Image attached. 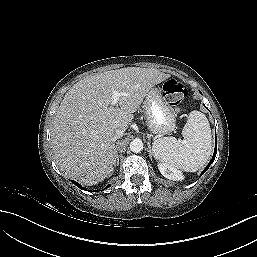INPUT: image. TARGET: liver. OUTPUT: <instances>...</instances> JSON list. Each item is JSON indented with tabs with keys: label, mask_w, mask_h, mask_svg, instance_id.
<instances>
[{
	"label": "liver",
	"mask_w": 257,
	"mask_h": 257,
	"mask_svg": "<svg viewBox=\"0 0 257 257\" xmlns=\"http://www.w3.org/2000/svg\"><path fill=\"white\" fill-rule=\"evenodd\" d=\"M169 77L154 68L127 67L88 76L71 87L51 131L60 171L87 186L102 181L116 161L113 134L128 128L147 93ZM113 91L126 94L116 106Z\"/></svg>",
	"instance_id": "1"
}]
</instances>
